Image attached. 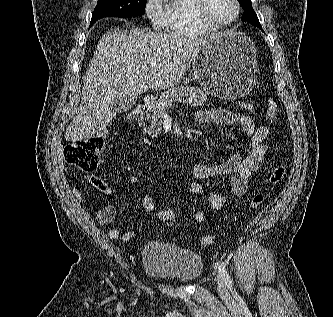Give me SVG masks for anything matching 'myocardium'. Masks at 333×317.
Listing matches in <instances>:
<instances>
[{
	"label": "myocardium",
	"instance_id": "f54148a6",
	"mask_svg": "<svg viewBox=\"0 0 333 317\" xmlns=\"http://www.w3.org/2000/svg\"><path fill=\"white\" fill-rule=\"evenodd\" d=\"M192 13L195 21L203 28L210 31L224 29L231 26L239 18L241 13V4L239 0H233L235 5V13L233 16L225 22H214L207 16L206 6L207 0H192Z\"/></svg>",
	"mask_w": 333,
	"mask_h": 317
}]
</instances>
